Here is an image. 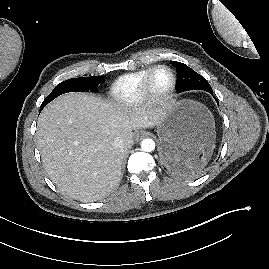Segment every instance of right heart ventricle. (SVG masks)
Here are the masks:
<instances>
[{
  "label": "right heart ventricle",
  "mask_w": 269,
  "mask_h": 269,
  "mask_svg": "<svg viewBox=\"0 0 269 269\" xmlns=\"http://www.w3.org/2000/svg\"><path fill=\"white\" fill-rule=\"evenodd\" d=\"M151 68H144L117 78L110 89L112 99L121 106H133L141 99V86Z\"/></svg>",
  "instance_id": "e07e8e85"
}]
</instances>
